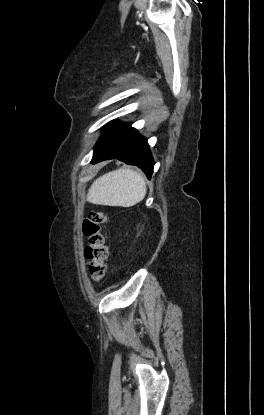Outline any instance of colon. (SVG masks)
<instances>
[{
	"label": "colon",
	"mask_w": 264,
	"mask_h": 415,
	"mask_svg": "<svg viewBox=\"0 0 264 415\" xmlns=\"http://www.w3.org/2000/svg\"><path fill=\"white\" fill-rule=\"evenodd\" d=\"M107 216L104 210H92L82 222V233L87 240L84 257L88 275L94 282H99L106 273L108 247L103 230Z\"/></svg>",
	"instance_id": "1"
}]
</instances>
